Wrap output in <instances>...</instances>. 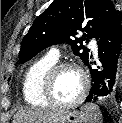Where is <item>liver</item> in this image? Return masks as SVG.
<instances>
[{"instance_id": "1", "label": "liver", "mask_w": 122, "mask_h": 123, "mask_svg": "<svg viewBox=\"0 0 122 123\" xmlns=\"http://www.w3.org/2000/svg\"><path fill=\"white\" fill-rule=\"evenodd\" d=\"M62 111H50L40 109L20 110L14 116L13 123H51Z\"/></svg>"}]
</instances>
